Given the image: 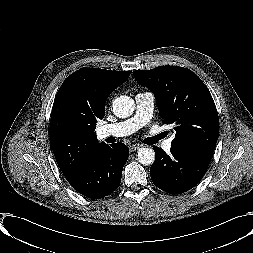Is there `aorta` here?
<instances>
[{"label": "aorta", "instance_id": "obj_1", "mask_svg": "<svg viewBox=\"0 0 253 253\" xmlns=\"http://www.w3.org/2000/svg\"><path fill=\"white\" fill-rule=\"evenodd\" d=\"M113 113L119 118L130 117L135 109L134 100L126 95L117 97L113 101ZM138 161L145 165H151L155 161V152L152 148H140L138 150Z\"/></svg>", "mask_w": 253, "mask_h": 253}]
</instances>
